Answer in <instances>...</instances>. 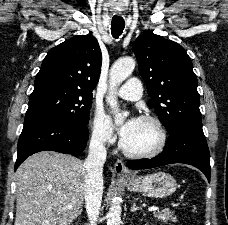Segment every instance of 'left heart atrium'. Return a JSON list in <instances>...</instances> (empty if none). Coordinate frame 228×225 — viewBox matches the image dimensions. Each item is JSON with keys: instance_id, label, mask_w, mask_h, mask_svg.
Masks as SVG:
<instances>
[{"instance_id": "left-heart-atrium-1", "label": "left heart atrium", "mask_w": 228, "mask_h": 225, "mask_svg": "<svg viewBox=\"0 0 228 225\" xmlns=\"http://www.w3.org/2000/svg\"><path fill=\"white\" fill-rule=\"evenodd\" d=\"M113 116H116V113H113ZM139 119L132 116L129 117L119 128V133L121 135V137L124 140L130 139L134 133L136 132V129L138 127L139 124Z\"/></svg>"}]
</instances>
